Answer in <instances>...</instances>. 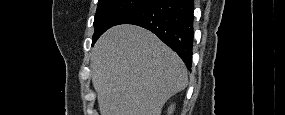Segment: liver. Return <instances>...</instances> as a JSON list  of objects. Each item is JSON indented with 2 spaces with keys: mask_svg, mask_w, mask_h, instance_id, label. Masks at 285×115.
I'll use <instances>...</instances> for the list:
<instances>
[{
  "mask_svg": "<svg viewBox=\"0 0 285 115\" xmlns=\"http://www.w3.org/2000/svg\"><path fill=\"white\" fill-rule=\"evenodd\" d=\"M90 68L101 115H161L188 85L181 58L135 25L107 30L92 49Z\"/></svg>",
  "mask_w": 285,
  "mask_h": 115,
  "instance_id": "obj_1",
  "label": "liver"
}]
</instances>
